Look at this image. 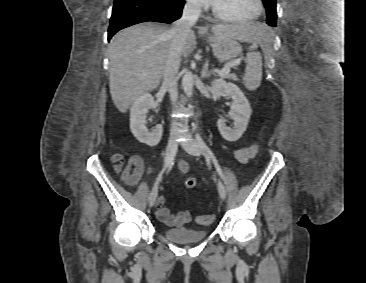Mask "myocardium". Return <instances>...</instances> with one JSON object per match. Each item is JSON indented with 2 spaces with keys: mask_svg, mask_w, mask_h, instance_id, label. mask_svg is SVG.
Listing matches in <instances>:
<instances>
[{
  "mask_svg": "<svg viewBox=\"0 0 366 283\" xmlns=\"http://www.w3.org/2000/svg\"><path fill=\"white\" fill-rule=\"evenodd\" d=\"M256 11L254 14H252L251 16H247V17H232V16H228L225 15L221 12H219L216 7L214 6V4L211 5V11L212 14L214 15V17L222 22H227V23H245V22H250L253 20L258 19L263 11H264V3L263 0H256Z\"/></svg>",
  "mask_w": 366,
  "mask_h": 283,
  "instance_id": "obj_1",
  "label": "myocardium"
}]
</instances>
